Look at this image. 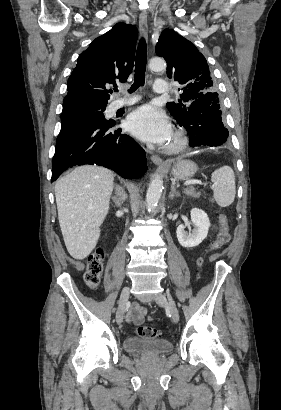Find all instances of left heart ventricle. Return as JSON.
Instances as JSON below:
<instances>
[{
  "label": "left heart ventricle",
  "instance_id": "left-heart-ventricle-1",
  "mask_svg": "<svg viewBox=\"0 0 281 410\" xmlns=\"http://www.w3.org/2000/svg\"><path fill=\"white\" fill-rule=\"evenodd\" d=\"M171 143H172V137H171V139L169 140L168 144H171Z\"/></svg>",
  "mask_w": 281,
  "mask_h": 410
}]
</instances>
